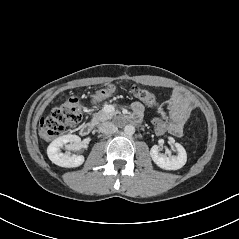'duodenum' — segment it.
<instances>
[{
	"mask_svg": "<svg viewBox=\"0 0 239 239\" xmlns=\"http://www.w3.org/2000/svg\"><path fill=\"white\" fill-rule=\"evenodd\" d=\"M94 128V123L93 122H87V123H84L81 127H80V134L82 136H87L89 135L92 130Z\"/></svg>",
	"mask_w": 239,
	"mask_h": 239,
	"instance_id": "obj_1",
	"label": "duodenum"
}]
</instances>
